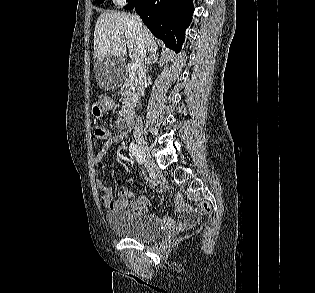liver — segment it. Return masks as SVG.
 Here are the masks:
<instances>
[{"instance_id":"obj_1","label":"liver","mask_w":315,"mask_h":293,"mask_svg":"<svg viewBox=\"0 0 315 293\" xmlns=\"http://www.w3.org/2000/svg\"><path fill=\"white\" fill-rule=\"evenodd\" d=\"M136 19L124 12L102 13L94 30V58L97 63L107 55L121 57L127 48L130 58L140 62L141 50L135 27ZM143 47L145 54L157 52V43L151 32L143 27Z\"/></svg>"}]
</instances>
